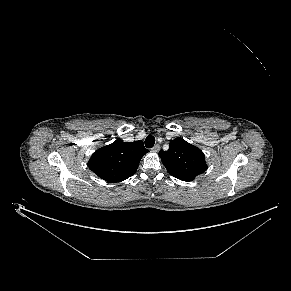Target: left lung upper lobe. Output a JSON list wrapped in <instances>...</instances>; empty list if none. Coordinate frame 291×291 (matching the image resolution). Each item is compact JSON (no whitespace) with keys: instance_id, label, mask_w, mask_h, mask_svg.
<instances>
[{"instance_id":"obj_1","label":"left lung upper lobe","mask_w":291,"mask_h":291,"mask_svg":"<svg viewBox=\"0 0 291 291\" xmlns=\"http://www.w3.org/2000/svg\"><path fill=\"white\" fill-rule=\"evenodd\" d=\"M159 156L167 171L183 181H193L207 169L204 153L180 137L170 141L169 150L159 151Z\"/></svg>"}]
</instances>
